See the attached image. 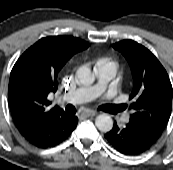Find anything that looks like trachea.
Returning a JSON list of instances; mask_svg holds the SVG:
<instances>
[{
	"label": "trachea",
	"instance_id": "1",
	"mask_svg": "<svg viewBox=\"0 0 173 170\" xmlns=\"http://www.w3.org/2000/svg\"><path fill=\"white\" fill-rule=\"evenodd\" d=\"M66 111L69 112V113H76V108L71 105V104H68L66 107H65Z\"/></svg>",
	"mask_w": 173,
	"mask_h": 170
}]
</instances>
